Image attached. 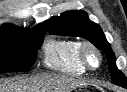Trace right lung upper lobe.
I'll return each instance as SVG.
<instances>
[{"instance_id": "1", "label": "right lung upper lobe", "mask_w": 127, "mask_h": 92, "mask_svg": "<svg viewBox=\"0 0 127 92\" xmlns=\"http://www.w3.org/2000/svg\"><path fill=\"white\" fill-rule=\"evenodd\" d=\"M48 29V21L40 23L36 25L33 29L30 28H19L11 24H6L2 26L0 30V36H8V37H22L26 35H30L32 33L38 31H47Z\"/></svg>"}]
</instances>
